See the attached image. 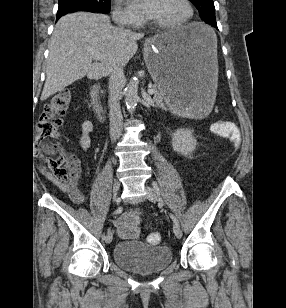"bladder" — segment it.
Returning a JSON list of instances; mask_svg holds the SVG:
<instances>
[{
	"label": "bladder",
	"instance_id": "1",
	"mask_svg": "<svg viewBox=\"0 0 286 308\" xmlns=\"http://www.w3.org/2000/svg\"><path fill=\"white\" fill-rule=\"evenodd\" d=\"M173 253L166 246H149L139 240L117 242L112 248L113 261L125 270L149 273L165 269Z\"/></svg>",
	"mask_w": 286,
	"mask_h": 308
}]
</instances>
